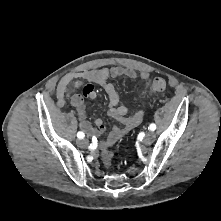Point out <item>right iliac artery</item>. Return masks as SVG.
<instances>
[{
  "mask_svg": "<svg viewBox=\"0 0 221 221\" xmlns=\"http://www.w3.org/2000/svg\"><path fill=\"white\" fill-rule=\"evenodd\" d=\"M77 137H78L79 139H83V138L85 137V134L80 131V132L77 133Z\"/></svg>",
  "mask_w": 221,
  "mask_h": 221,
  "instance_id": "1",
  "label": "right iliac artery"
}]
</instances>
